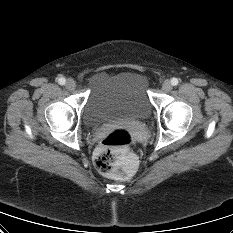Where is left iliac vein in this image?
<instances>
[{"label":"left iliac vein","mask_w":233,"mask_h":233,"mask_svg":"<svg viewBox=\"0 0 233 233\" xmlns=\"http://www.w3.org/2000/svg\"><path fill=\"white\" fill-rule=\"evenodd\" d=\"M162 89L166 92L170 91L172 89V84L169 80H165L162 84Z\"/></svg>","instance_id":"4c4485c4"}]
</instances>
